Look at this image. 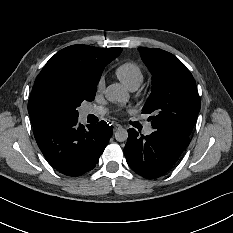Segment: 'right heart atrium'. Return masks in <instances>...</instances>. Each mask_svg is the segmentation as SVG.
<instances>
[{
    "label": "right heart atrium",
    "instance_id": "right-heart-atrium-1",
    "mask_svg": "<svg viewBox=\"0 0 233 233\" xmlns=\"http://www.w3.org/2000/svg\"><path fill=\"white\" fill-rule=\"evenodd\" d=\"M104 83H105V81H104L103 78H101V79L98 81V84H97V90H98V91H101V90L104 88Z\"/></svg>",
    "mask_w": 233,
    "mask_h": 233
}]
</instances>
